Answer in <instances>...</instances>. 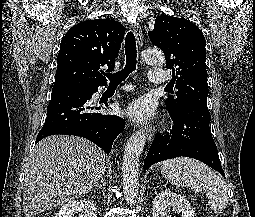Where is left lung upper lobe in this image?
<instances>
[{
    "label": "left lung upper lobe",
    "mask_w": 255,
    "mask_h": 217,
    "mask_svg": "<svg viewBox=\"0 0 255 217\" xmlns=\"http://www.w3.org/2000/svg\"><path fill=\"white\" fill-rule=\"evenodd\" d=\"M155 46L165 54L166 67L172 69L176 96H168L166 108L176 113L190 105L207 108L208 84L205 66V38L201 30L184 18L161 15L149 31Z\"/></svg>",
    "instance_id": "5c2ea615"
}]
</instances>
